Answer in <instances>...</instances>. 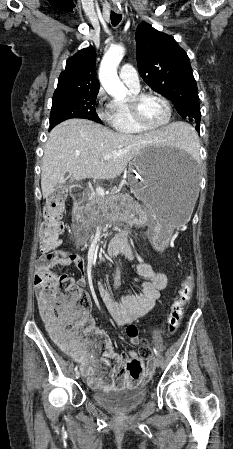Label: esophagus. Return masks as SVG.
<instances>
[{
	"label": "esophagus",
	"mask_w": 233,
	"mask_h": 449,
	"mask_svg": "<svg viewBox=\"0 0 233 449\" xmlns=\"http://www.w3.org/2000/svg\"><path fill=\"white\" fill-rule=\"evenodd\" d=\"M113 10H114L116 13H118V14L121 13V9L118 8V7H116V6L113 7Z\"/></svg>",
	"instance_id": "esophagus-1"
}]
</instances>
